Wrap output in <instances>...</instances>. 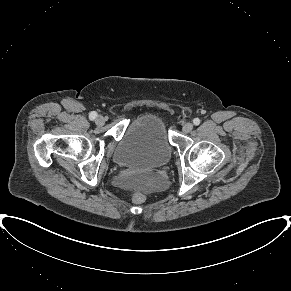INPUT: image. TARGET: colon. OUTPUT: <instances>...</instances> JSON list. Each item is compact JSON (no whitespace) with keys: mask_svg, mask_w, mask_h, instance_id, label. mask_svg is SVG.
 Listing matches in <instances>:
<instances>
[{"mask_svg":"<svg viewBox=\"0 0 291 291\" xmlns=\"http://www.w3.org/2000/svg\"><path fill=\"white\" fill-rule=\"evenodd\" d=\"M145 200V196L143 193L141 192H134L133 195H132V201L136 204H140L142 202H144Z\"/></svg>","mask_w":291,"mask_h":291,"instance_id":"5ec220e1","label":"colon"}]
</instances>
